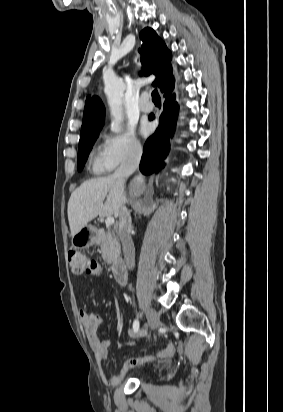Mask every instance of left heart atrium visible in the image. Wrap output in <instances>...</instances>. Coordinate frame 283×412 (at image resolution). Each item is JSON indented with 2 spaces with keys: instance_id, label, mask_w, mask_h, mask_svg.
<instances>
[{
  "instance_id": "39dd6f15",
  "label": "left heart atrium",
  "mask_w": 283,
  "mask_h": 412,
  "mask_svg": "<svg viewBox=\"0 0 283 412\" xmlns=\"http://www.w3.org/2000/svg\"><path fill=\"white\" fill-rule=\"evenodd\" d=\"M152 128L148 123H143L141 126V133L143 136H147L151 133Z\"/></svg>"
}]
</instances>
